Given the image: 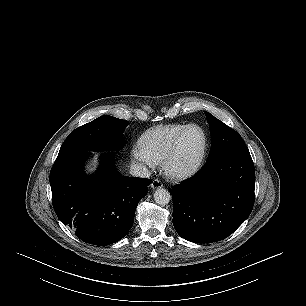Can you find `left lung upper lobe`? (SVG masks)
<instances>
[{
    "instance_id": "obj_1",
    "label": "left lung upper lobe",
    "mask_w": 306,
    "mask_h": 306,
    "mask_svg": "<svg viewBox=\"0 0 306 306\" xmlns=\"http://www.w3.org/2000/svg\"><path fill=\"white\" fill-rule=\"evenodd\" d=\"M205 115L212 134V144L207 161L226 154L249 151L238 132L210 113L205 112Z\"/></svg>"
}]
</instances>
